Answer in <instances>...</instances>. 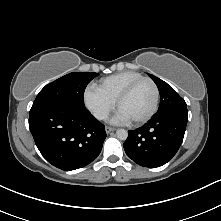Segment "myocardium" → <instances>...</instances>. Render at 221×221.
I'll return each instance as SVG.
<instances>
[{"mask_svg":"<svg viewBox=\"0 0 221 221\" xmlns=\"http://www.w3.org/2000/svg\"><path fill=\"white\" fill-rule=\"evenodd\" d=\"M142 82H149L151 83V85L154 88V93H155V97H154V102H153V106L151 108V110L142 118H139L137 120L134 121H130L131 124L133 125H141L146 123L148 120H150L154 114L156 113L157 109H158V105H159V99H160V92H159V88L156 84V82L148 77H142L140 79H137L135 81H133L132 83H130L123 91L122 93L119 95V97L116 100V106L119 109L121 103L129 97V95L133 92V90Z\"/></svg>","mask_w":221,"mask_h":221,"instance_id":"f54148a6","label":"myocardium"}]
</instances>
